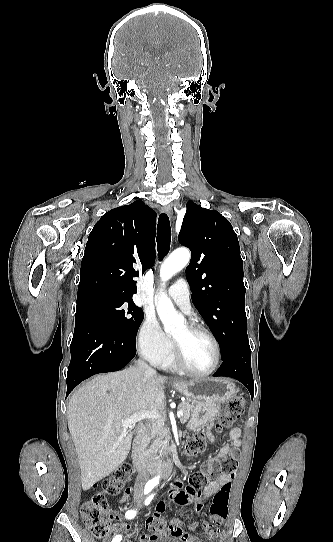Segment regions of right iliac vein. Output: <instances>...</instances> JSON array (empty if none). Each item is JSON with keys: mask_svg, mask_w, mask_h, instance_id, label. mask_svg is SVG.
<instances>
[{"mask_svg": "<svg viewBox=\"0 0 333 542\" xmlns=\"http://www.w3.org/2000/svg\"><path fill=\"white\" fill-rule=\"evenodd\" d=\"M138 497L140 498V497H141V495H139ZM136 498H137V496H136Z\"/></svg>", "mask_w": 333, "mask_h": 542, "instance_id": "1", "label": "right iliac vein"}]
</instances>
